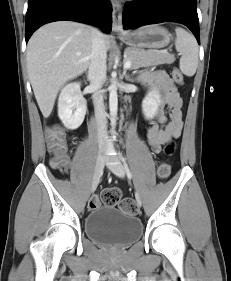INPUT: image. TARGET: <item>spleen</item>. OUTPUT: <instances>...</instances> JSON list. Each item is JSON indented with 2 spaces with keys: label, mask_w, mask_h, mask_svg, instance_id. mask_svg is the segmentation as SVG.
I'll return each mask as SVG.
<instances>
[{
  "label": "spleen",
  "mask_w": 231,
  "mask_h": 281,
  "mask_svg": "<svg viewBox=\"0 0 231 281\" xmlns=\"http://www.w3.org/2000/svg\"><path fill=\"white\" fill-rule=\"evenodd\" d=\"M175 48L181 54L179 67L186 76H193L198 66V44L193 35L185 29L177 27L175 29Z\"/></svg>",
  "instance_id": "spleen-1"
}]
</instances>
